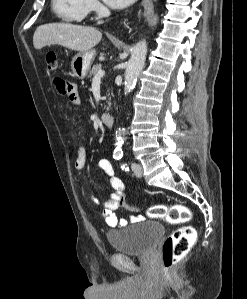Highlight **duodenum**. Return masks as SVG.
I'll list each match as a JSON object with an SVG mask.
<instances>
[{
  "label": "duodenum",
  "mask_w": 247,
  "mask_h": 299,
  "mask_svg": "<svg viewBox=\"0 0 247 299\" xmlns=\"http://www.w3.org/2000/svg\"><path fill=\"white\" fill-rule=\"evenodd\" d=\"M101 121L107 127H111L114 123V117L111 113L105 112L101 115Z\"/></svg>",
  "instance_id": "obj_1"
}]
</instances>
